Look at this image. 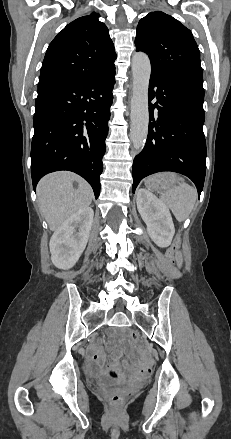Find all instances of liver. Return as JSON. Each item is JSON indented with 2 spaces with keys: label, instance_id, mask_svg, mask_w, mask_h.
<instances>
[{
  "label": "liver",
  "instance_id": "1",
  "mask_svg": "<svg viewBox=\"0 0 231 439\" xmlns=\"http://www.w3.org/2000/svg\"><path fill=\"white\" fill-rule=\"evenodd\" d=\"M77 182L75 189L73 183ZM38 205L50 230L56 231L64 221L93 199L91 186L71 172H56L43 177L37 186Z\"/></svg>",
  "mask_w": 231,
  "mask_h": 439
}]
</instances>
